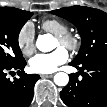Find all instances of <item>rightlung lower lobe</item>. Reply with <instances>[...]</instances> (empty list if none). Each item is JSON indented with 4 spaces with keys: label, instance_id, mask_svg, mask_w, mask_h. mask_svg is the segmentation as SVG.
Listing matches in <instances>:
<instances>
[{
    "label": "right lung lower lobe",
    "instance_id": "right-lung-lower-lobe-1",
    "mask_svg": "<svg viewBox=\"0 0 107 107\" xmlns=\"http://www.w3.org/2000/svg\"><path fill=\"white\" fill-rule=\"evenodd\" d=\"M25 65V60L14 65L0 64V107H28L31 104L34 85L40 77L24 73ZM13 70H17L20 78L12 82L6 75Z\"/></svg>",
    "mask_w": 107,
    "mask_h": 107
}]
</instances>
